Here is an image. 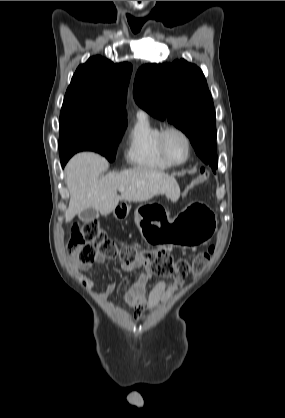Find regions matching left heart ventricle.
I'll list each match as a JSON object with an SVG mask.
<instances>
[{"instance_id":"b2bd125f","label":"left heart ventricle","mask_w":285,"mask_h":418,"mask_svg":"<svg viewBox=\"0 0 285 418\" xmlns=\"http://www.w3.org/2000/svg\"><path fill=\"white\" fill-rule=\"evenodd\" d=\"M165 148L171 158L175 162L182 161L186 156V143L184 139L175 132H170L165 137Z\"/></svg>"}]
</instances>
